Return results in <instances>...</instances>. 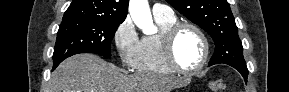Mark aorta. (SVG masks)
Instances as JSON below:
<instances>
[{
  "mask_svg": "<svg viewBox=\"0 0 289 92\" xmlns=\"http://www.w3.org/2000/svg\"><path fill=\"white\" fill-rule=\"evenodd\" d=\"M129 13L136 26L142 29L145 34L155 32L148 0H131L129 3Z\"/></svg>",
  "mask_w": 289,
  "mask_h": 92,
  "instance_id": "1",
  "label": "aorta"
}]
</instances>
